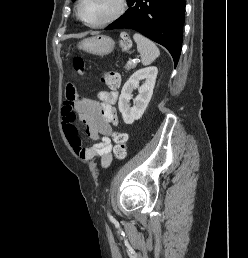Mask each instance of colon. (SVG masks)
I'll return each instance as SVG.
<instances>
[{"label": "colon", "mask_w": 248, "mask_h": 258, "mask_svg": "<svg viewBox=\"0 0 248 258\" xmlns=\"http://www.w3.org/2000/svg\"><path fill=\"white\" fill-rule=\"evenodd\" d=\"M121 47L126 50L130 47V42L125 35L121 37ZM73 67L76 73L79 75L84 74V61L81 57L77 56L73 59ZM103 81L107 86L111 89H115L119 85V76L116 72H106L103 75ZM113 140L115 142L114 147V155L116 159H124L126 157L127 149H126V142H127V135L123 132H114L113 133Z\"/></svg>", "instance_id": "colon-1"}]
</instances>
